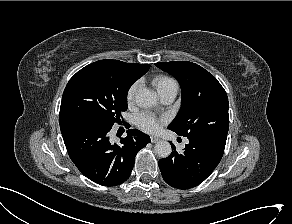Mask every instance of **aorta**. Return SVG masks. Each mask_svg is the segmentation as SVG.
Instances as JSON below:
<instances>
[{
	"label": "aorta",
	"mask_w": 292,
	"mask_h": 224,
	"mask_svg": "<svg viewBox=\"0 0 292 224\" xmlns=\"http://www.w3.org/2000/svg\"><path fill=\"white\" fill-rule=\"evenodd\" d=\"M158 101L157 94L149 89L143 88L140 89L136 94V103L140 107L150 108L155 106ZM155 153L161 157L166 158L170 156L172 152V148L169 142L167 141H159L154 146Z\"/></svg>",
	"instance_id": "aorta-1"
}]
</instances>
